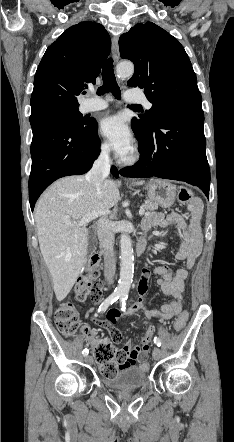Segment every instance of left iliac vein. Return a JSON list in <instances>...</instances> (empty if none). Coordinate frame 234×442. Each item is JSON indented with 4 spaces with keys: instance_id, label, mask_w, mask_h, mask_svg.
Instances as JSON below:
<instances>
[{
    "instance_id": "obj_1",
    "label": "left iliac vein",
    "mask_w": 234,
    "mask_h": 442,
    "mask_svg": "<svg viewBox=\"0 0 234 442\" xmlns=\"http://www.w3.org/2000/svg\"><path fill=\"white\" fill-rule=\"evenodd\" d=\"M161 354H162L161 349L159 347H155L153 350V353H152L153 358L155 360H159L161 357Z\"/></svg>"
}]
</instances>
